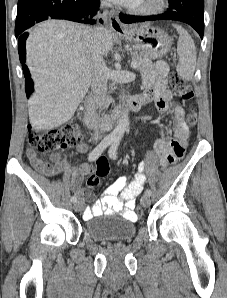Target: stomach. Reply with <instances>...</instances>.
Segmentation results:
<instances>
[{
    "label": "stomach",
    "instance_id": "0dacf381",
    "mask_svg": "<svg viewBox=\"0 0 227 298\" xmlns=\"http://www.w3.org/2000/svg\"><path fill=\"white\" fill-rule=\"evenodd\" d=\"M123 37L152 59H160L165 56L172 45V39L163 30L150 25L125 30Z\"/></svg>",
    "mask_w": 227,
    "mask_h": 298
}]
</instances>
